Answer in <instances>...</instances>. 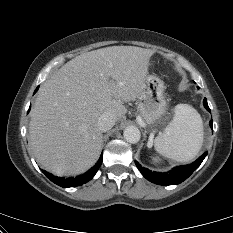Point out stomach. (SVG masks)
I'll return each mask as SVG.
<instances>
[{
    "mask_svg": "<svg viewBox=\"0 0 233 233\" xmlns=\"http://www.w3.org/2000/svg\"><path fill=\"white\" fill-rule=\"evenodd\" d=\"M164 82L154 76L147 75L143 90L139 96L138 112L143 121L149 126L157 125L167 110Z\"/></svg>",
    "mask_w": 233,
    "mask_h": 233,
    "instance_id": "obj_1",
    "label": "stomach"
}]
</instances>
